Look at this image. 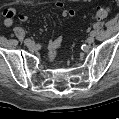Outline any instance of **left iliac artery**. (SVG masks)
Masks as SVG:
<instances>
[{"label":"left iliac artery","instance_id":"44dca946","mask_svg":"<svg viewBox=\"0 0 119 119\" xmlns=\"http://www.w3.org/2000/svg\"><path fill=\"white\" fill-rule=\"evenodd\" d=\"M90 34L93 36L94 35V32L92 31Z\"/></svg>","mask_w":119,"mask_h":119}]
</instances>
